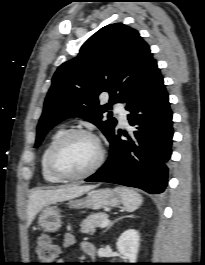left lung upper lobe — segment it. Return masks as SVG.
<instances>
[{"label": "left lung upper lobe", "instance_id": "left-lung-upper-lobe-1", "mask_svg": "<svg viewBox=\"0 0 205 265\" xmlns=\"http://www.w3.org/2000/svg\"><path fill=\"white\" fill-rule=\"evenodd\" d=\"M156 64L150 47L137 30L122 23L107 25L91 36L78 56L63 63L55 72L37 126L35 147L46 133L62 120L77 116L98 126L110 139L117 121H103L102 114L112 104L124 103ZM108 92L109 103L98 96Z\"/></svg>", "mask_w": 205, "mask_h": 265}]
</instances>
